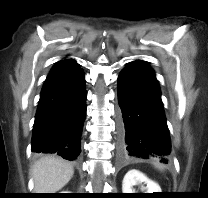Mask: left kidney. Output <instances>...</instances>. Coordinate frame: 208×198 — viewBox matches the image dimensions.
Here are the masks:
<instances>
[{
	"label": "left kidney",
	"instance_id": "1",
	"mask_svg": "<svg viewBox=\"0 0 208 198\" xmlns=\"http://www.w3.org/2000/svg\"><path fill=\"white\" fill-rule=\"evenodd\" d=\"M140 183H145L147 185L146 187H142V190H145L144 193L161 192V188L156 182L146 177L140 171L132 169L124 176L122 182L123 193H136L133 186Z\"/></svg>",
	"mask_w": 208,
	"mask_h": 198
}]
</instances>
